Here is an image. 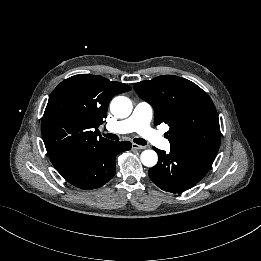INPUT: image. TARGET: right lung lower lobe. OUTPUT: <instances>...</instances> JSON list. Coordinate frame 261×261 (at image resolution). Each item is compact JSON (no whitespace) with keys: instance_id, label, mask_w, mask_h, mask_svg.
Masks as SVG:
<instances>
[{"instance_id":"right-lung-lower-lobe-1","label":"right lung lower lobe","mask_w":261,"mask_h":261,"mask_svg":"<svg viewBox=\"0 0 261 261\" xmlns=\"http://www.w3.org/2000/svg\"><path fill=\"white\" fill-rule=\"evenodd\" d=\"M131 149L128 141H113L95 150L76 154L57 168L70 184L85 190L96 189L107 183L116 172L115 159L118 153Z\"/></svg>"}]
</instances>
